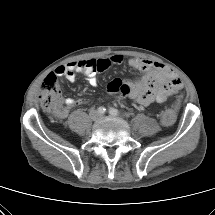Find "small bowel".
<instances>
[{"label": "small bowel", "mask_w": 215, "mask_h": 215, "mask_svg": "<svg viewBox=\"0 0 215 215\" xmlns=\"http://www.w3.org/2000/svg\"><path fill=\"white\" fill-rule=\"evenodd\" d=\"M123 60L122 55L115 54L108 58L72 61L57 67L53 74L64 77L69 82H74L76 75L82 73L87 77L89 85L95 87L98 83V73L105 71L111 65L121 64ZM128 63L143 73L142 78L135 82L113 79L107 85V91L110 94L119 93L122 97H127L139 105L148 106L154 102L166 101L170 95L182 88L181 80L161 63L138 57L130 58ZM86 103L87 101L84 99H65L66 109ZM65 114L66 110L57 113L60 118Z\"/></svg>", "instance_id": "1"}]
</instances>
